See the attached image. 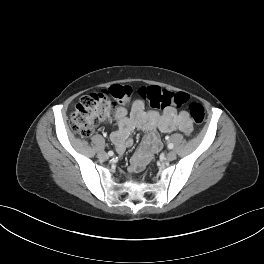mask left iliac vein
I'll use <instances>...</instances> for the list:
<instances>
[{"instance_id": "left-iliac-vein-1", "label": "left iliac vein", "mask_w": 264, "mask_h": 264, "mask_svg": "<svg viewBox=\"0 0 264 264\" xmlns=\"http://www.w3.org/2000/svg\"><path fill=\"white\" fill-rule=\"evenodd\" d=\"M176 158V152L175 151H169L167 154H166V160L167 161H173L174 159Z\"/></svg>"}]
</instances>
